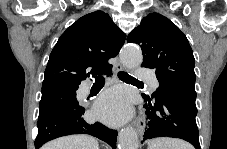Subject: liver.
<instances>
[{
    "mask_svg": "<svg viewBox=\"0 0 227 149\" xmlns=\"http://www.w3.org/2000/svg\"><path fill=\"white\" fill-rule=\"evenodd\" d=\"M98 142L88 135H69L45 144L42 149H98Z\"/></svg>",
    "mask_w": 227,
    "mask_h": 149,
    "instance_id": "obj_1",
    "label": "liver"
}]
</instances>
